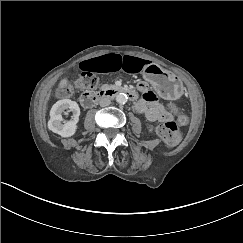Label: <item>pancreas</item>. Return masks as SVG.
Instances as JSON below:
<instances>
[{
  "instance_id": "1",
  "label": "pancreas",
  "mask_w": 243,
  "mask_h": 243,
  "mask_svg": "<svg viewBox=\"0 0 243 243\" xmlns=\"http://www.w3.org/2000/svg\"><path fill=\"white\" fill-rule=\"evenodd\" d=\"M102 88L108 89V88H115V85H108V84H104L102 86Z\"/></svg>"
}]
</instances>
